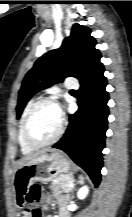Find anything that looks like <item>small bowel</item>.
I'll use <instances>...</instances> for the list:
<instances>
[{
	"label": "small bowel",
	"instance_id": "1",
	"mask_svg": "<svg viewBox=\"0 0 132 217\" xmlns=\"http://www.w3.org/2000/svg\"><path fill=\"white\" fill-rule=\"evenodd\" d=\"M26 190L17 189L16 190V202L19 208H21L20 217H31V207L27 204L25 200ZM67 203V196L61 193L56 194L55 200L45 199L44 209H48L52 206L58 205L60 207L64 206ZM54 217V216H47ZM59 217H68L67 212L62 208L60 210Z\"/></svg>",
	"mask_w": 132,
	"mask_h": 217
}]
</instances>
